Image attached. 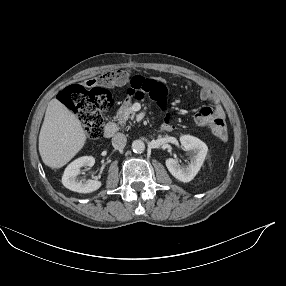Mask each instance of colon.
<instances>
[{"label":"colon","mask_w":286,"mask_h":286,"mask_svg":"<svg viewBox=\"0 0 286 286\" xmlns=\"http://www.w3.org/2000/svg\"><path fill=\"white\" fill-rule=\"evenodd\" d=\"M115 76V72H106L101 80H109ZM130 95L148 96L154 100L164 102L165 87L157 81L133 77L128 89ZM60 102L70 107L85 127L87 135L98 138L104 126V116L114 104L111 94L103 88L87 90L79 85L66 87L60 94ZM205 125V133L212 140L225 141L227 131L225 123L219 118H208L202 121Z\"/></svg>","instance_id":"5ec220e1"}]
</instances>
